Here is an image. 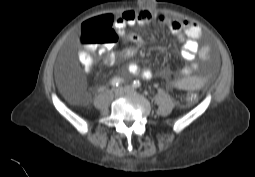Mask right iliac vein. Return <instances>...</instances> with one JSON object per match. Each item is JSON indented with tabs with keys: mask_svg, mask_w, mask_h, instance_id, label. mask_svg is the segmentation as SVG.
I'll return each mask as SVG.
<instances>
[{
	"mask_svg": "<svg viewBox=\"0 0 255 177\" xmlns=\"http://www.w3.org/2000/svg\"><path fill=\"white\" fill-rule=\"evenodd\" d=\"M125 92H126V90L123 87H118L114 90V94L116 97L122 96Z\"/></svg>",
	"mask_w": 255,
	"mask_h": 177,
	"instance_id": "63e3f726",
	"label": "right iliac vein"
}]
</instances>
